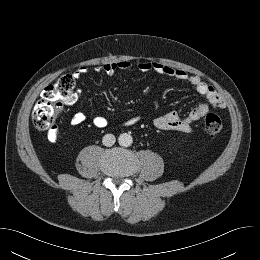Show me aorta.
I'll return each mask as SVG.
<instances>
[{
	"label": "aorta",
	"mask_w": 260,
	"mask_h": 260,
	"mask_svg": "<svg viewBox=\"0 0 260 260\" xmlns=\"http://www.w3.org/2000/svg\"><path fill=\"white\" fill-rule=\"evenodd\" d=\"M118 143L122 147H128L133 143V138L128 133L120 134L118 137Z\"/></svg>",
	"instance_id": "762f6f07"
}]
</instances>
